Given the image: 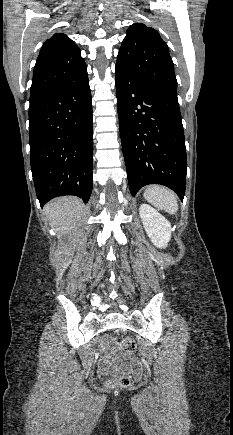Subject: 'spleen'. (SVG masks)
Returning a JSON list of instances; mask_svg holds the SVG:
<instances>
[{
    "instance_id": "obj_1",
    "label": "spleen",
    "mask_w": 233,
    "mask_h": 435,
    "mask_svg": "<svg viewBox=\"0 0 233 435\" xmlns=\"http://www.w3.org/2000/svg\"><path fill=\"white\" fill-rule=\"evenodd\" d=\"M143 196L153 206L169 214H175L178 211L179 207L176 194L164 186H149L144 191Z\"/></svg>"
}]
</instances>
